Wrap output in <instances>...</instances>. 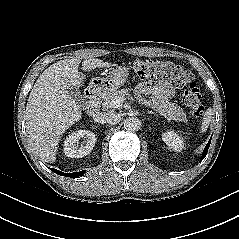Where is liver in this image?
I'll return each mask as SVG.
<instances>
[{
	"label": "liver",
	"mask_w": 239,
	"mask_h": 239,
	"mask_svg": "<svg viewBox=\"0 0 239 239\" xmlns=\"http://www.w3.org/2000/svg\"><path fill=\"white\" fill-rule=\"evenodd\" d=\"M81 60L69 58L48 67L36 80L26 105V130L32 147L45 162H55L63 133L81 119L80 105L69 90L79 89L85 77L78 72ZM111 63L89 58L82 70L108 68Z\"/></svg>",
	"instance_id": "liver-1"
}]
</instances>
